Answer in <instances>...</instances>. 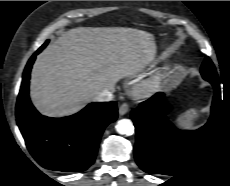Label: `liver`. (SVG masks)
<instances>
[{"label":"liver","mask_w":230,"mask_h":186,"mask_svg":"<svg viewBox=\"0 0 230 186\" xmlns=\"http://www.w3.org/2000/svg\"><path fill=\"white\" fill-rule=\"evenodd\" d=\"M151 33L126 27H77L63 32L37 56L30 97L49 117L81 110L122 78L142 71L155 58Z\"/></svg>","instance_id":"6515ba94"}]
</instances>
